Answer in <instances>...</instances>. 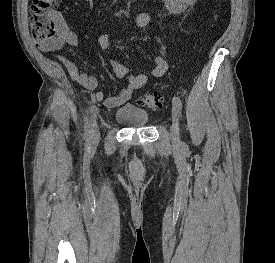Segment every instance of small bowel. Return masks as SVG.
Wrapping results in <instances>:
<instances>
[{
	"label": "small bowel",
	"mask_w": 275,
	"mask_h": 263,
	"mask_svg": "<svg viewBox=\"0 0 275 263\" xmlns=\"http://www.w3.org/2000/svg\"><path fill=\"white\" fill-rule=\"evenodd\" d=\"M58 22L57 36L50 42L40 44L39 47L43 51H55L64 48L66 45L75 46L78 43L77 35L70 31L64 24L59 15H55ZM133 21L140 28H148L152 23V16L149 13L138 12L133 15ZM111 44V37L104 33L98 38V45L101 49H107ZM60 63L66 68L72 80L84 90L92 92V99L101 102L107 108H117L125 104L132 97L133 93L142 88L152 79H159L166 73L168 69L167 59L163 56H156L152 60V66L148 71L138 75H132L128 68L115 58H110L112 73L119 80L126 79L127 86L118 94L108 96L103 92H94L99 82L98 80L82 71L65 56H57Z\"/></svg>",
	"instance_id": "obj_1"
}]
</instances>
